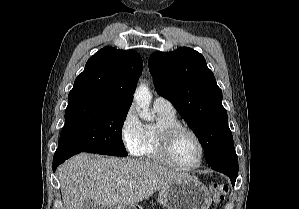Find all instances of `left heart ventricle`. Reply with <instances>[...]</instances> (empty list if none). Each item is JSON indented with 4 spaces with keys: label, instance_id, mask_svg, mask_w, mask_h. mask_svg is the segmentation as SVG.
<instances>
[{
    "label": "left heart ventricle",
    "instance_id": "1",
    "mask_svg": "<svg viewBox=\"0 0 299 209\" xmlns=\"http://www.w3.org/2000/svg\"><path fill=\"white\" fill-rule=\"evenodd\" d=\"M173 156L182 165H194L200 158V147L192 135L181 133L175 139Z\"/></svg>",
    "mask_w": 299,
    "mask_h": 209
}]
</instances>
